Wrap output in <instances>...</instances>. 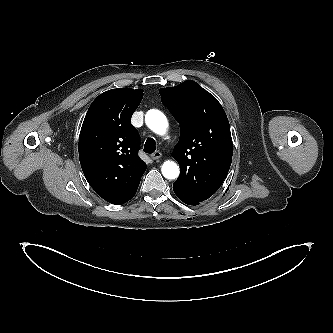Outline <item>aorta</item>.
<instances>
[{"label": "aorta", "instance_id": "obj_1", "mask_svg": "<svg viewBox=\"0 0 333 333\" xmlns=\"http://www.w3.org/2000/svg\"><path fill=\"white\" fill-rule=\"evenodd\" d=\"M146 125L156 134L164 135L168 128L166 116L159 110H149L145 115ZM162 174L167 179H175L179 175V167L173 161H166L161 167Z\"/></svg>", "mask_w": 333, "mask_h": 333}]
</instances>
